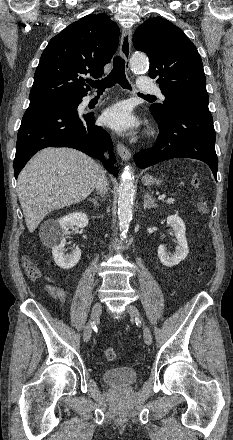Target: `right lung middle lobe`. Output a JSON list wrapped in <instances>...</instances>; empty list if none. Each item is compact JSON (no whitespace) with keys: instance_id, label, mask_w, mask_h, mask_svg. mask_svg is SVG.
Instances as JSON below:
<instances>
[{"instance_id":"obj_1","label":"right lung middle lobe","mask_w":233,"mask_h":440,"mask_svg":"<svg viewBox=\"0 0 233 440\" xmlns=\"http://www.w3.org/2000/svg\"><path fill=\"white\" fill-rule=\"evenodd\" d=\"M82 101V99H59V100H54L51 102H57V103H66V104H70L73 105L75 107H77V105Z\"/></svg>"}]
</instances>
